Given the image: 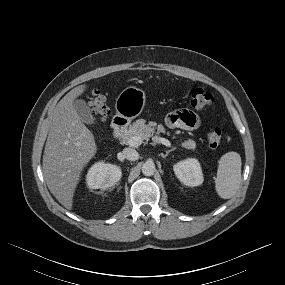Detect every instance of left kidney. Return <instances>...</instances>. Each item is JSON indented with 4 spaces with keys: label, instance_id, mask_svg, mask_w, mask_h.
<instances>
[{
    "label": "left kidney",
    "instance_id": "left-kidney-1",
    "mask_svg": "<svg viewBox=\"0 0 285 285\" xmlns=\"http://www.w3.org/2000/svg\"><path fill=\"white\" fill-rule=\"evenodd\" d=\"M176 177L187 186H199L203 183L200 163L195 158L180 161L173 167Z\"/></svg>",
    "mask_w": 285,
    "mask_h": 285
}]
</instances>
